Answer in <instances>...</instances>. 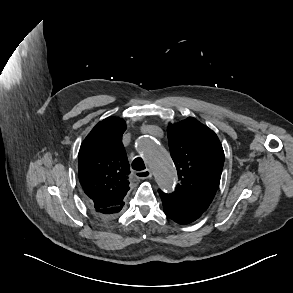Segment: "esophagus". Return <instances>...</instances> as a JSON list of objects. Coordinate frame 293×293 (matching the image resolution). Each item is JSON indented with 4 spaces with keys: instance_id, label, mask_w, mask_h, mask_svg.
<instances>
[{
    "instance_id": "esophagus-1",
    "label": "esophagus",
    "mask_w": 293,
    "mask_h": 293,
    "mask_svg": "<svg viewBox=\"0 0 293 293\" xmlns=\"http://www.w3.org/2000/svg\"><path fill=\"white\" fill-rule=\"evenodd\" d=\"M135 176L138 178V179H148L152 176V173L149 169H146V170H141V171H137L135 173Z\"/></svg>"
}]
</instances>
